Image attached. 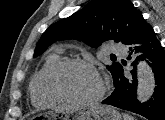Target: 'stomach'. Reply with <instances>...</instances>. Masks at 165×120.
Masks as SVG:
<instances>
[{
    "label": "stomach",
    "mask_w": 165,
    "mask_h": 120,
    "mask_svg": "<svg viewBox=\"0 0 165 120\" xmlns=\"http://www.w3.org/2000/svg\"><path fill=\"white\" fill-rule=\"evenodd\" d=\"M63 120H121L120 113L113 107L107 105H85L74 109L62 111H49L46 113L38 114L33 119L40 118Z\"/></svg>",
    "instance_id": "1"
}]
</instances>
